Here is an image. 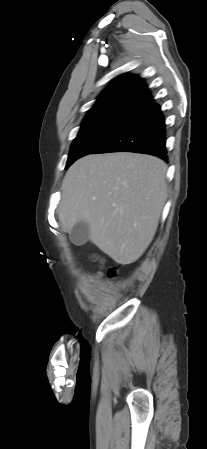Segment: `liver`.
Returning a JSON list of instances; mask_svg holds the SVG:
<instances>
[{
  "mask_svg": "<svg viewBox=\"0 0 207 449\" xmlns=\"http://www.w3.org/2000/svg\"><path fill=\"white\" fill-rule=\"evenodd\" d=\"M166 171L161 159L136 153L77 160L61 186L62 230L85 222L102 252L122 265L135 262L155 236L167 198Z\"/></svg>",
  "mask_w": 207,
  "mask_h": 449,
  "instance_id": "obj_1",
  "label": "liver"
}]
</instances>
